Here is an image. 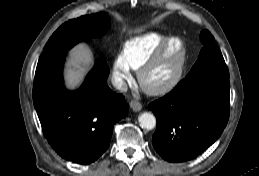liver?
I'll return each instance as SVG.
<instances>
[{"mask_svg": "<svg viewBox=\"0 0 259 176\" xmlns=\"http://www.w3.org/2000/svg\"><path fill=\"white\" fill-rule=\"evenodd\" d=\"M69 56L65 79L68 88H75L82 82L86 71L91 67L93 53L86 44L81 43L70 51Z\"/></svg>", "mask_w": 259, "mask_h": 176, "instance_id": "liver-1", "label": "liver"}]
</instances>
